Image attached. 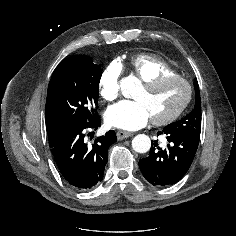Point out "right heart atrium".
I'll list each match as a JSON object with an SVG mask.
<instances>
[{
  "label": "right heart atrium",
  "instance_id": "obj_1",
  "mask_svg": "<svg viewBox=\"0 0 236 236\" xmlns=\"http://www.w3.org/2000/svg\"><path fill=\"white\" fill-rule=\"evenodd\" d=\"M122 74V65L118 61H112L102 71L98 88L100 95L107 101H114L119 96L120 77Z\"/></svg>",
  "mask_w": 236,
  "mask_h": 236
}]
</instances>
